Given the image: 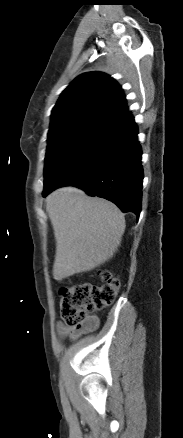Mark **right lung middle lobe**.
I'll return each instance as SVG.
<instances>
[{
	"mask_svg": "<svg viewBox=\"0 0 183 438\" xmlns=\"http://www.w3.org/2000/svg\"><path fill=\"white\" fill-rule=\"evenodd\" d=\"M98 128L78 126L48 133L44 187L71 161Z\"/></svg>",
	"mask_w": 183,
	"mask_h": 438,
	"instance_id": "1",
	"label": "right lung middle lobe"
}]
</instances>
